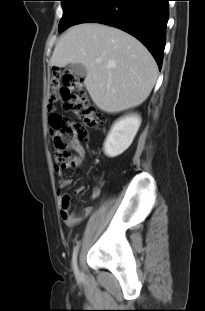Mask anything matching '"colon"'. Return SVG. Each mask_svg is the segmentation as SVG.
<instances>
[{
  "mask_svg": "<svg viewBox=\"0 0 205 311\" xmlns=\"http://www.w3.org/2000/svg\"><path fill=\"white\" fill-rule=\"evenodd\" d=\"M49 88V124L54 134L56 159L65 164L70 159V151L76 150L87 140L88 129L103 125L104 120L87 101L81 77L69 72L54 71ZM58 103H63L81 122L56 112L54 107Z\"/></svg>",
  "mask_w": 205,
  "mask_h": 311,
  "instance_id": "5ec220e1",
  "label": "colon"
}]
</instances>
